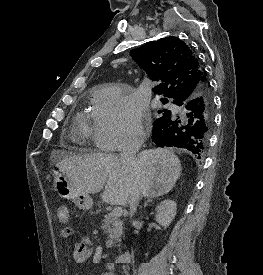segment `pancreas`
<instances>
[{
  "instance_id": "cf45deb5",
  "label": "pancreas",
  "mask_w": 263,
  "mask_h": 275,
  "mask_svg": "<svg viewBox=\"0 0 263 275\" xmlns=\"http://www.w3.org/2000/svg\"><path fill=\"white\" fill-rule=\"evenodd\" d=\"M122 225V221L113 216L112 213H108L104 216V220L102 221V229L104 230V233L108 235V239L106 241L108 247H111L114 241H120V237L123 233Z\"/></svg>"
}]
</instances>
